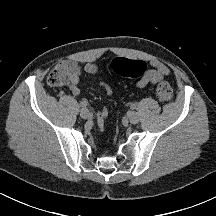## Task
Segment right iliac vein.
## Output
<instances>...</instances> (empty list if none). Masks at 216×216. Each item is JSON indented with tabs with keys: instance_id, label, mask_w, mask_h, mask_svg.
Wrapping results in <instances>:
<instances>
[{
	"instance_id": "63e3f726",
	"label": "right iliac vein",
	"mask_w": 216,
	"mask_h": 216,
	"mask_svg": "<svg viewBox=\"0 0 216 216\" xmlns=\"http://www.w3.org/2000/svg\"><path fill=\"white\" fill-rule=\"evenodd\" d=\"M80 116L83 119H88L90 117V112L87 108H83L80 110Z\"/></svg>"
}]
</instances>
